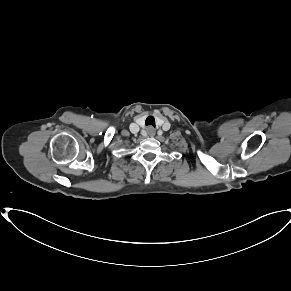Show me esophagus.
<instances>
[{
	"mask_svg": "<svg viewBox=\"0 0 291 291\" xmlns=\"http://www.w3.org/2000/svg\"><path fill=\"white\" fill-rule=\"evenodd\" d=\"M147 131H148V133H149V135H151V136H154L155 135V129L153 128V127H148L147 128Z\"/></svg>",
	"mask_w": 291,
	"mask_h": 291,
	"instance_id": "esophagus-1",
	"label": "esophagus"
}]
</instances>
